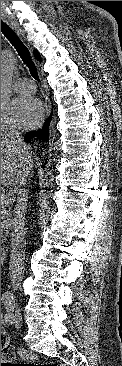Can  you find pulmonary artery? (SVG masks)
<instances>
[{
  "mask_svg": "<svg viewBox=\"0 0 122 366\" xmlns=\"http://www.w3.org/2000/svg\"><path fill=\"white\" fill-rule=\"evenodd\" d=\"M13 87L16 92L21 94H31L36 89L34 82L26 78L16 80Z\"/></svg>",
  "mask_w": 122,
  "mask_h": 366,
  "instance_id": "pulmonary-artery-1",
  "label": "pulmonary artery"
}]
</instances>
